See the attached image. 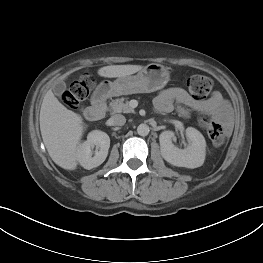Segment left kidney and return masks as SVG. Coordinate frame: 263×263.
Segmentation results:
<instances>
[{
  "mask_svg": "<svg viewBox=\"0 0 263 263\" xmlns=\"http://www.w3.org/2000/svg\"><path fill=\"white\" fill-rule=\"evenodd\" d=\"M172 131H164L159 136L162 157L170 164L178 167L197 168L205 160L206 141L203 135L195 128L186 129L189 144L184 149L177 148L172 143Z\"/></svg>",
  "mask_w": 263,
  "mask_h": 263,
  "instance_id": "obj_1",
  "label": "left kidney"
}]
</instances>
